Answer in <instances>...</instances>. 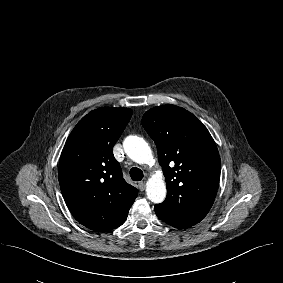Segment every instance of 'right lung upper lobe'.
<instances>
[{
	"label": "right lung upper lobe",
	"instance_id": "obj_1",
	"mask_svg": "<svg viewBox=\"0 0 283 283\" xmlns=\"http://www.w3.org/2000/svg\"><path fill=\"white\" fill-rule=\"evenodd\" d=\"M132 115L128 108L102 107L84 116L70 133L59 163L65 203L78 222L104 232L119 227L138 191L123 179L113 146Z\"/></svg>",
	"mask_w": 283,
	"mask_h": 283
}]
</instances>
